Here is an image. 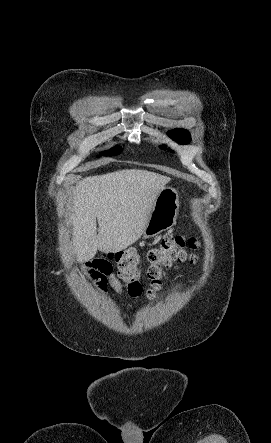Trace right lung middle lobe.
Instances as JSON below:
<instances>
[{
  "instance_id": "right-lung-middle-lobe-1",
  "label": "right lung middle lobe",
  "mask_w": 271,
  "mask_h": 443,
  "mask_svg": "<svg viewBox=\"0 0 271 443\" xmlns=\"http://www.w3.org/2000/svg\"><path fill=\"white\" fill-rule=\"evenodd\" d=\"M121 152V147L120 146H116L108 151L102 152L101 155L102 156H114L117 155Z\"/></svg>"
}]
</instances>
